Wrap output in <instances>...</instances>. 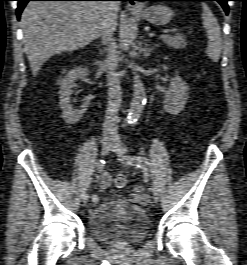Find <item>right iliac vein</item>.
Listing matches in <instances>:
<instances>
[{
	"instance_id": "obj_1",
	"label": "right iliac vein",
	"mask_w": 247,
	"mask_h": 265,
	"mask_svg": "<svg viewBox=\"0 0 247 265\" xmlns=\"http://www.w3.org/2000/svg\"><path fill=\"white\" fill-rule=\"evenodd\" d=\"M113 145H114V140L112 138L105 137L104 139H102V141H101L102 155L108 154V152L112 149ZM88 200H89V196L84 195L83 196V203L87 204Z\"/></svg>"
}]
</instances>
